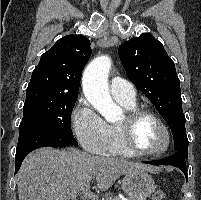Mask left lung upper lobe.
I'll use <instances>...</instances> for the list:
<instances>
[{
	"label": "left lung upper lobe",
	"instance_id": "left-lung-upper-lobe-1",
	"mask_svg": "<svg viewBox=\"0 0 201 200\" xmlns=\"http://www.w3.org/2000/svg\"><path fill=\"white\" fill-rule=\"evenodd\" d=\"M118 54L128 78L168 123L176 151H188L180 80L163 45L144 33L123 43Z\"/></svg>",
	"mask_w": 201,
	"mask_h": 200
}]
</instances>
